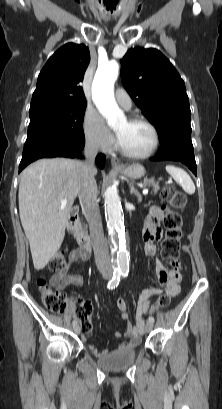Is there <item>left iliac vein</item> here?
<instances>
[{"instance_id": "1", "label": "left iliac vein", "mask_w": 222, "mask_h": 409, "mask_svg": "<svg viewBox=\"0 0 222 409\" xmlns=\"http://www.w3.org/2000/svg\"><path fill=\"white\" fill-rule=\"evenodd\" d=\"M153 330V323L152 322H147L146 323V331L147 332H150V331H152Z\"/></svg>"}]
</instances>
